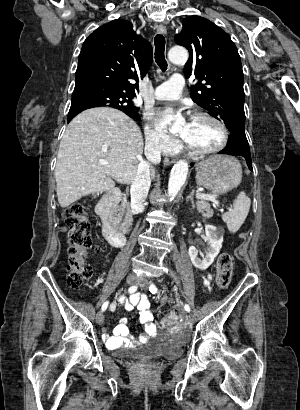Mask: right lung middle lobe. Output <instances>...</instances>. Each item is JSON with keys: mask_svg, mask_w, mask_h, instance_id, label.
Masks as SVG:
<instances>
[{"mask_svg": "<svg viewBox=\"0 0 300 410\" xmlns=\"http://www.w3.org/2000/svg\"><path fill=\"white\" fill-rule=\"evenodd\" d=\"M99 106L114 107L131 118H139L138 108L133 105L131 96L93 83L75 84L68 116L77 115L85 109Z\"/></svg>", "mask_w": 300, "mask_h": 410, "instance_id": "dd1d6c3e", "label": "right lung middle lobe"}]
</instances>
